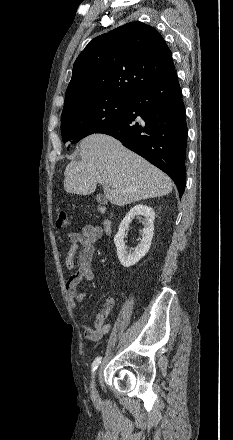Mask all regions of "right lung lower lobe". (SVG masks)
Segmentation results:
<instances>
[{
	"instance_id": "obj_1",
	"label": "right lung lower lobe",
	"mask_w": 233,
	"mask_h": 440,
	"mask_svg": "<svg viewBox=\"0 0 233 440\" xmlns=\"http://www.w3.org/2000/svg\"><path fill=\"white\" fill-rule=\"evenodd\" d=\"M97 133L115 137L167 173L180 197L186 183L187 125L176 71L134 93L125 112Z\"/></svg>"
}]
</instances>
